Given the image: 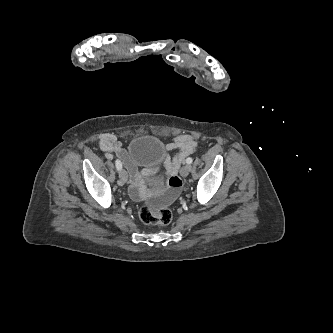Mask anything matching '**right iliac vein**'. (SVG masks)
Here are the masks:
<instances>
[{"label":"right iliac vein","instance_id":"1","mask_svg":"<svg viewBox=\"0 0 333 333\" xmlns=\"http://www.w3.org/2000/svg\"><path fill=\"white\" fill-rule=\"evenodd\" d=\"M119 179H120V182L121 183H126V181H127V179H128V173H127V171L126 170H124V169H121L120 171H119Z\"/></svg>","mask_w":333,"mask_h":333}]
</instances>
